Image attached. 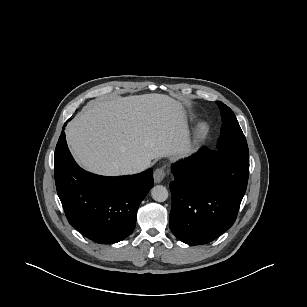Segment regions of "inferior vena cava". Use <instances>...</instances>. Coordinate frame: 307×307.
I'll list each match as a JSON object with an SVG mask.
<instances>
[{"label": "inferior vena cava", "mask_w": 307, "mask_h": 307, "mask_svg": "<svg viewBox=\"0 0 307 307\" xmlns=\"http://www.w3.org/2000/svg\"><path fill=\"white\" fill-rule=\"evenodd\" d=\"M147 168V165L145 164H141V165H134L131 167H126L123 170L124 174H135V173H139L142 172L143 170H145Z\"/></svg>", "instance_id": "602c4592"}]
</instances>
